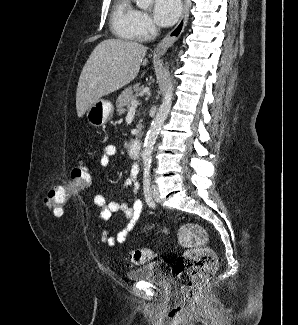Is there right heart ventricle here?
<instances>
[{
	"label": "right heart ventricle",
	"mask_w": 298,
	"mask_h": 325,
	"mask_svg": "<svg viewBox=\"0 0 298 325\" xmlns=\"http://www.w3.org/2000/svg\"><path fill=\"white\" fill-rule=\"evenodd\" d=\"M139 10L129 0L118 1L111 12L110 23L113 37H122V41H129L130 29L137 25Z\"/></svg>",
	"instance_id": "obj_1"
}]
</instances>
